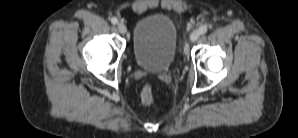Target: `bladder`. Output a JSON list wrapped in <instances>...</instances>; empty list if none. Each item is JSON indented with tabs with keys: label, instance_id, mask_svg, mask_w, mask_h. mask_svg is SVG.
I'll list each match as a JSON object with an SVG mask.
<instances>
[{
	"label": "bladder",
	"instance_id": "bladder-1",
	"mask_svg": "<svg viewBox=\"0 0 298 138\" xmlns=\"http://www.w3.org/2000/svg\"><path fill=\"white\" fill-rule=\"evenodd\" d=\"M177 27L164 14H151L137 21L133 30L132 52L143 69L163 72L174 61L177 50Z\"/></svg>",
	"mask_w": 298,
	"mask_h": 138
}]
</instances>
